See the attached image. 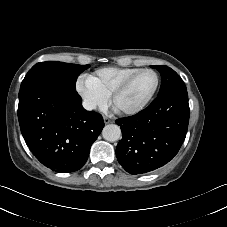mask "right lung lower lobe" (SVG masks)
Wrapping results in <instances>:
<instances>
[{"mask_svg": "<svg viewBox=\"0 0 227 227\" xmlns=\"http://www.w3.org/2000/svg\"><path fill=\"white\" fill-rule=\"evenodd\" d=\"M18 120L34 156L60 173L79 170L104 127L100 114L86 111L76 90L40 79L19 91Z\"/></svg>", "mask_w": 227, "mask_h": 227, "instance_id": "obj_1", "label": "right lung lower lobe"}]
</instances>
